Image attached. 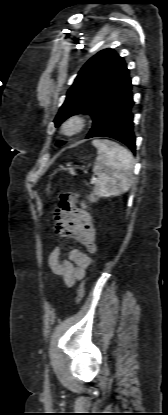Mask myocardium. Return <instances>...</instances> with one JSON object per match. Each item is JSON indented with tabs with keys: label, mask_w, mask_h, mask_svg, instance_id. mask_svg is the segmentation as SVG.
Here are the masks:
<instances>
[{
	"label": "myocardium",
	"mask_w": 168,
	"mask_h": 415,
	"mask_svg": "<svg viewBox=\"0 0 168 415\" xmlns=\"http://www.w3.org/2000/svg\"><path fill=\"white\" fill-rule=\"evenodd\" d=\"M88 118L81 113L68 116L60 125V132L66 137H74L81 134L88 126Z\"/></svg>",
	"instance_id": "myocardium-1"
}]
</instances>
